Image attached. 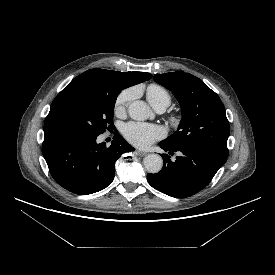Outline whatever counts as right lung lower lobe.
Masks as SVG:
<instances>
[{"label":"right lung lower lobe","mask_w":275,"mask_h":275,"mask_svg":"<svg viewBox=\"0 0 275 275\" xmlns=\"http://www.w3.org/2000/svg\"><path fill=\"white\" fill-rule=\"evenodd\" d=\"M97 136L55 132L44 136L42 153L54 180L68 191L88 195L114 179L115 162L134 148L116 133L109 147Z\"/></svg>","instance_id":"right-lung-lower-lobe-1"}]
</instances>
